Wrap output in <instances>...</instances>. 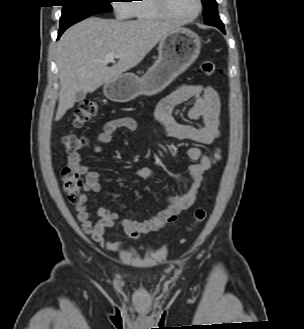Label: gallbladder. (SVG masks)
Wrapping results in <instances>:
<instances>
[{
	"instance_id": "bac80fb5",
	"label": "gallbladder",
	"mask_w": 304,
	"mask_h": 329,
	"mask_svg": "<svg viewBox=\"0 0 304 329\" xmlns=\"http://www.w3.org/2000/svg\"><path fill=\"white\" fill-rule=\"evenodd\" d=\"M86 92L85 91H78L75 94V102H81L85 99Z\"/></svg>"
}]
</instances>
